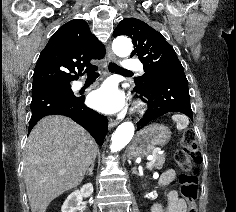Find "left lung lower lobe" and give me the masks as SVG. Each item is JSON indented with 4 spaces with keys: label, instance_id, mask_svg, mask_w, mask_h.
I'll return each instance as SVG.
<instances>
[{
    "label": "left lung lower lobe",
    "instance_id": "1",
    "mask_svg": "<svg viewBox=\"0 0 236 212\" xmlns=\"http://www.w3.org/2000/svg\"><path fill=\"white\" fill-rule=\"evenodd\" d=\"M134 91H137L141 100L148 105L143 118L137 123V130L169 112H181L193 120L188 81L184 70L171 71L156 78L151 87L135 88Z\"/></svg>",
    "mask_w": 236,
    "mask_h": 212
}]
</instances>
